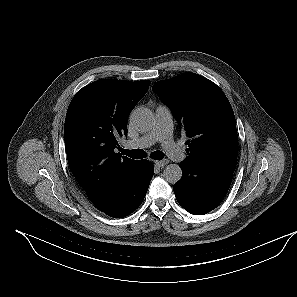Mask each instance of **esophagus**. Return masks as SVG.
I'll return each instance as SVG.
<instances>
[{"label":"esophagus","instance_id":"34e87169","mask_svg":"<svg viewBox=\"0 0 297 297\" xmlns=\"http://www.w3.org/2000/svg\"><path fill=\"white\" fill-rule=\"evenodd\" d=\"M154 163L158 167H164L165 165H167L169 163V160L164 159V160H161V161H155Z\"/></svg>","mask_w":297,"mask_h":297}]
</instances>
